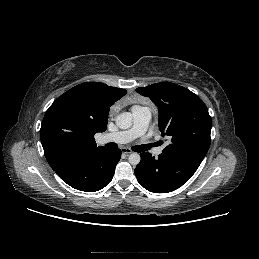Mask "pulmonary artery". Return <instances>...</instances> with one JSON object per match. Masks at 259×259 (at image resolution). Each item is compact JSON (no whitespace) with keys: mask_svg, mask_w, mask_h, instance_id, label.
Listing matches in <instances>:
<instances>
[{"mask_svg":"<svg viewBox=\"0 0 259 259\" xmlns=\"http://www.w3.org/2000/svg\"><path fill=\"white\" fill-rule=\"evenodd\" d=\"M133 126L124 131H118L114 133H107L101 137V141L104 143L114 142L118 144H125L133 139L143 135L147 130L149 121L151 119V111L148 107H133ZM163 151L162 147H158L154 150L155 155L161 154Z\"/></svg>","mask_w":259,"mask_h":259,"instance_id":"pulmonary-artery-1","label":"pulmonary artery"}]
</instances>
